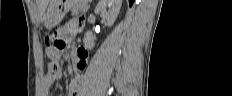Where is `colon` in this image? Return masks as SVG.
I'll list each match as a JSON object with an SVG mask.
<instances>
[{
	"label": "colon",
	"instance_id": "obj_1",
	"mask_svg": "<svg viewBox=\"0 0 232 96\" xmlns=\"http://www.w3.org/2000/svg\"><path fill=\"white\" fill-rule=\"evenodd\" d=\"M45 42H46L47 49L50 50L49 54L53 58L57 59L59 57L60 51L63 50L65 47V43L62 40L59 32L55 31V32L51 33L49 36L46 37ZM59 67H60L59 64H57L55 62H52L50 64V69L53 72H56L59 69Z\"/></svg>",
	"mask_w": 232,
	"mask_h": 96
}]
</instances>
